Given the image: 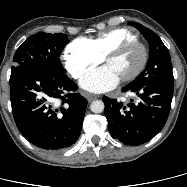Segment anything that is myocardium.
I'll return each mask as SVG.
<instances>
[{"instance_id": "myocardium-1", "label": "myocardium", "mask_w": 187, "mask_h": 187, "mask_svg": "<svg viewBox=\"0 0 187 187\" xmlns=\"http://www.w3.org/2000/svg\"><path fill=\"white\" fill-rule=\"evenodd\" d=\"M132 47H140L142 49V60L139 66L131 74L121 79V81L123 82H129L136 79L144 71L149 58L148 49L146 45L139 40L126 41L111 49L104 56V61L107 62L109 58L118 57Z\"/></svg>"}]
</instances>
